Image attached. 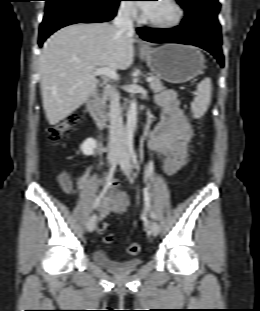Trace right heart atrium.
<instances>
[{"label":"right heart atrium","instance_id":"right-heart-atrium-1","mask_svg":"<svg viewBox=\"0 0 260 311\" xmlns=\"http://www.w3.org/2000/svg\"><path fill=\"white\" fill-rule=\"evenodd\" d=\"M122 2L124 3L120 5L119 12L126 18H129V19L137 18L138 13H137L136 7L133 4L125 3V2H130V1H122Z\"/></svg>","mask_w":260,"mask_h":311}]
</instances>
